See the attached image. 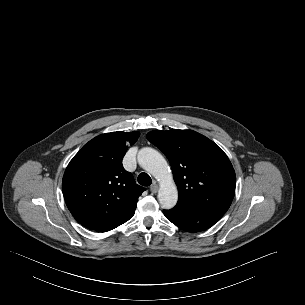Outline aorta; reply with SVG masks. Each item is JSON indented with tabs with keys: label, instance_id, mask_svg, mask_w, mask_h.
<instances>
[{
	"label": "aorta",
	"instance_id": "1",
	"mask_svg": "<svg viewBox=\"0 0 305 305\" xmlns=\"http://www.w3.org/2000/svg\"><path fill=\"white\" fill-rule=\"evenodd\" d=\"M139 165L151 173L160 183L158 200L165 209L173 208L178 200L177 187L164 157L155 149L145 147L138 152Z\"/></svg>",
	"mask_w": 305,
	"mask_h": 305
}]
</instances>
